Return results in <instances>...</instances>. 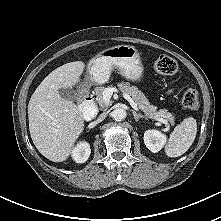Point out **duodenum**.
<instances>
[{
	"label": "duodenum",
	"mask_w": 221,
	"mask_h": 221,
	"mask_svg": "<svg viewBox=\"0 0 221 221\" xmlns=\"http://www.w3.org/2000/svg\"><path fill=\"white\" fill-rule=\"evenodd\" d=\"M82 112L86 118L94 117L97 114V108L94 99L86 95L82 102Z\"/></svg>",
	"instance_id": "duodenum-1"
}]
</instances>
